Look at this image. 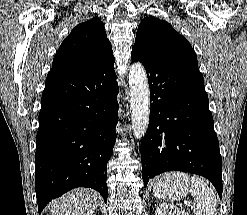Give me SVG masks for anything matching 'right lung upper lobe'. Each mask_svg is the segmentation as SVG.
<instances>
[{"label": "right lung upper lobe", "instance_id": "cb5924a9", "mask_svg": "<svg viewBox=\"0 0 247 215\" xmlns=\"http://www.w3.org/2000/svg\"><path fill=\"white\" fill-rule=\"evenodd\" d=\"M113 58L103 23L92 18L78 24L64 39L54 56L52 68L86 73Z\"/></svg>", "mask_w": 247, "mask_h": 215}]
</instances>
